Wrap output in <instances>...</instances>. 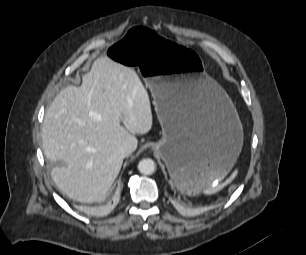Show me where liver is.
<instances>
[{
    "label": "liver",
    "mask_w": 306,
    "mask_h": 255,
    "mask_svg": "<svg viewBox=\"0 0 306 255\" xmlns=\"http://www.w3.org/2000/svg\"><path fill=\"white\" fill-rule=\"evenodd\" d=\"M152 124L149 95L136 72L109 57L97 59L82 85L64 88L44 117L42 145L58 164L51 170L56 186L75 201L101 202L122 167L118 149L130 144L135 151L132 133L146 134Z\"/></svg>",
    "instance_id": "1"
}]
</instances>
